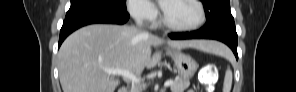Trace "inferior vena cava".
<instances>
[{
	"mask_svg": "<svg viewBox=\"0 0 296 92\" xmlns=\"http://www.w3.org/2000/svg\"><path fill=\"white\" fill-rule=\"evenodd\" d=\"M136 23H137L138 26H141V25H142V18L139 17V16H137V17H136ZM144 33H145V34H148L147 32H144Z\"/></svg>",
	"mask_w": 296,
	"mask_h": 92,
	"instance_id": "obj_1",
	"label": "inferior vena cava"
}]
</instances>
